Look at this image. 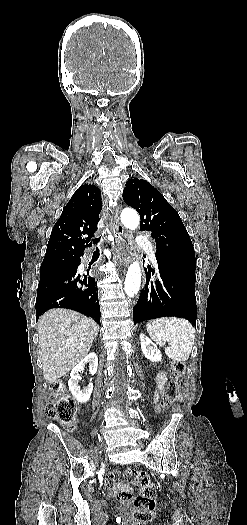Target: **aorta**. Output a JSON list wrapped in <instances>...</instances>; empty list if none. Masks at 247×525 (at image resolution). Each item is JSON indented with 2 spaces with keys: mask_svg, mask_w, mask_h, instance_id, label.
<instances>
[{
  "mask_svg": "<svg viewBox=\"0 0 247 525\" xmlns=\"http://www.w3.org/2000/svg\"><path fill=\"white\" fill-rule=\"evenodd\" d=\"M121 222L130 230H135L140 223L138 213L133 209H124L121 213ZM141 268L139 263L133 262L128 268L125 279V292L129 297H134L140 290Z\"/></svg>",
  "mask_w": 247,
  "mask_h": 525,
  "instance_id": "obj_1",
  "label": "aorta"
}]
</instances>
